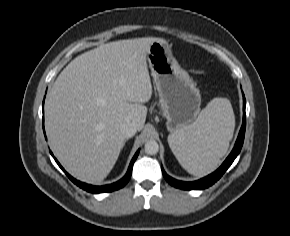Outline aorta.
I'll list each match as a JSON object with an SVG mask.
<instances>
[{
    "label": "aorta",
    "mask_w": 290,
    "mask_h": 236,
    "mask_svg": "<svg viewBox=\"0 0 290 236\" xmlns=\"http://www.w3.org/2000/svg\"><path fill=\"white\" fill-rule=\"evenodd\" d=\"M145 152L149 155H155L159 150V145L155 140H149L144 146Z\"/></svg>",
    "instance_id": "762f6f07"
}]
</instances>
